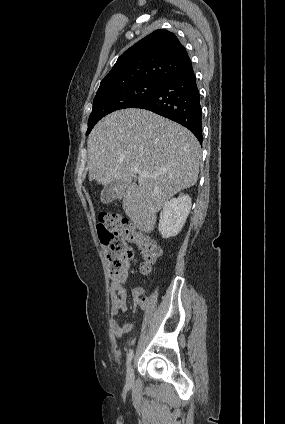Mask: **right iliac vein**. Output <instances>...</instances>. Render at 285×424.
Wrapping results in <instances>:
<instances>
[{
	"instance_id": "right-iliac-vein-1",
	"label": "right iliac vein",
	"mask_w": 285,
	"mask_h": 424,
	"mask_svg": "<svg viewBox=\"0 0 285 424\" xmlns=\"http://www.w3.org/2000/svg\"><path fill=\"white\" fill-rule=\"evenodd\" d=\"M133 379H134L133 367H132V365H129V367L127 368V373H126V381L128 383H132Z\"/></svg>"
}]
</instances>
